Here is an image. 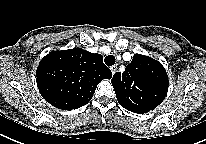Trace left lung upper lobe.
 I'll list each match as a JSON object with an SVG mask.
<instances>
[{"label": "left lung upper lobe", "instance_id": "1", "mask_svg": "<svg viewBox=\"0 0 206 144\" xmlns=\"http://www.w3.org/2000/svg\"><path fill=\"white\" fill-rule=\"evenodd\" d=\"M113 88L119 104L135 113L156 108L167 95L168 77L164 67L151 57L135 54L121 74H114Z\"/></svg>", "mask_w": 206, "mask_h": 144}]
</instances>
